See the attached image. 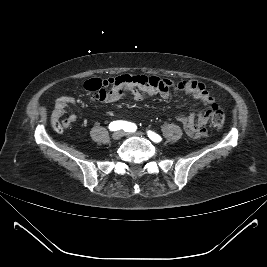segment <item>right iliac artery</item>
I'll use <instances>...</instances> for the list:
<instances>
[{"label": "right iliac artery", "instance_id": "obj_1", "mask_svg": "<svg viewBox=\"0 0 267 267\" xmlns=\"http://www.w3.org/2000/svg\"><path fill=\"white\" fill-rule=\"evenodd\" d=\"M111 131L123 129L124 131L133 132L136 131L137 127L135 124L126 121H113L109 124Z\"/></svg>", "mask_w": 267, "mask_h": 267}]
</instances>
